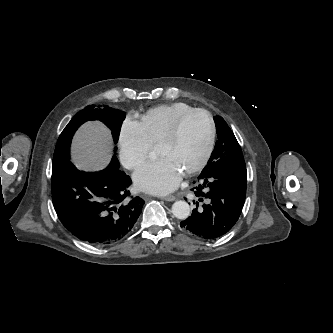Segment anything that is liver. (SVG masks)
Here are the masks:
<instances>
[{
    "mask_svg": "<svg viewBox=\"0 0 333 333\" xmlns=\"http://www.w3.org/2000/svg\"><path fill=\"white\" fill-rule=\"evenodd\" d=\"M110 131L99 121H89L76 133L72 143V161L81 169L98 170L111 159Z\"/></svg>",
    "mask_w": 333,
    "mask_h": 333,
    "instance_id": "6515ba94",
    "label": "liver"
}]
</instances>
